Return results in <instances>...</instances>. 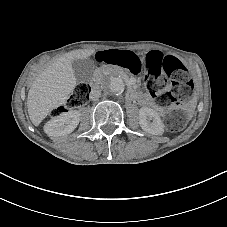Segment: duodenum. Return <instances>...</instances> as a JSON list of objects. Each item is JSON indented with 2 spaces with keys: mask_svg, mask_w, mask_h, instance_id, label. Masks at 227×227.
<instances>
[{
  "mask_svg": "<svg viewBox=\"0 0 227 227\" xmlns=\"http://www.w3.org/2000/svg\"><path fill=\"white\" fill-rule=\"evenodd\" d=\"M146 98H147L146 95H144V96H142V97L140 98L141 104L146 105V103H147Z\"/></svg>",
  "mask_w": 227,
  "mask_h": 227,
  "instance_id": "410a0bca",
  "label": "duodenum"
}]
</instances>
